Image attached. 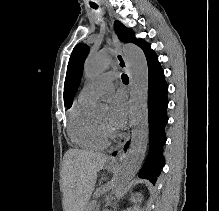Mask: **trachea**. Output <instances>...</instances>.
Here are the masks:
<instances>
[{
    "label": "trachea",
    "instance_id": "trachea-1",
    "mask_svg": "<svg viewBox=\"0 0 219 211\" xmlns=\"http://www.w3.org/2000/svg\"><path fill=\"white\" fill-rule=\"evenodd\" d=\"M92 8L97 9V5H91ZM122 81L123 83L127 84L129 82V78L127 75L122 74Z\"/></svg>",
    "mask_w": 219,
    "mask_h": 211
}]
</instances>
